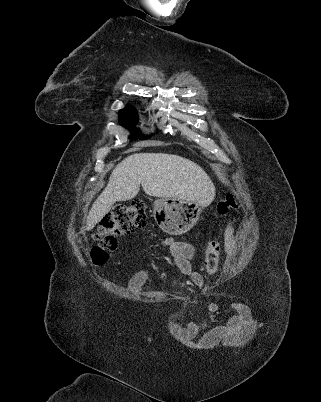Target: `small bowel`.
<instances>
[{
	"instance_id": "obj_1",
	"label": "small bowel",
	"mask_w": 321,
	"mask_h": 402,
	"mask_svg": "<svg viewBox=\"0 0 321 402\" xmlns=\"http://www.w3.org/2000/svg\"><path fill=\"white\" fill-rule=\"evenodd\" d=\"M237 222V218L232 219L224 230L226 245L230 250L235 246L234 232ZM164 244L168 247L174 266L183 275L191 279L195 285H202L203 277L191 262L196 255L195 247L189 242L173 239H166ZM146 276L147 273L144 271L136 273L130 280L128 287L130 289L139 287L145 281ZM206 308L208 311H215L217 305L215 302H208ZM231 308L234 311L231 314V320H226L225 324H216L212 330H206L204 326H196V322L192 320L186 328L173 326L172 331L182 337L185 342L191 341L193 335H197V342L193 341L190 344L193 350L198 349V343H200L201 347H220V339L223 340L225 347H241L244 344L243 339L254 338V331L248 329H254L256 322L251 320L252 312L249 310L250 305L248 302H233Z\"/></svg>"
}]
</instances>
